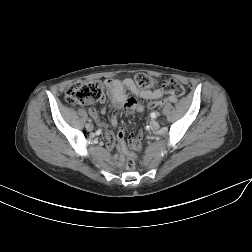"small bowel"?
Returning a JSON list of instances; mask_svg holds the SVG:
<instances>
[{"instance_id": "obj_1", "label": "small bowel", "mask_w": 252, "mask_h": 252, "mask_svg": "<svg viewBox=\"0 0 252 252\" xmlns=\"http://www.w3.org/2000/svg\"><path fill=\"white\" fill-rule=\"evenodd\" d=\"M107 93L111 99V104L114 108L118 110H123L126 112H143L144 106L140 104L136 97H139L144 100H157L163 98L161 103H175L177 102V97L173 95H165L164 91L161 89H139L133 79L125 78L124 80L109 78L104 81ZM131 95H130V94ZM104 100V98L102 99ZM90 104V103H89ZM89 115L97 121L100 125H104V123L99 118L98 111L90 107L88 109ZM106 112V108L101 109V113L104 114ZM110 123L113 127L118 125V119L116 115H111ZM142 135V133L140 132ZM117 145L119 151L117 154L113 155V162L121 167L123 156L126 153V146L124 142V131L121 129L118 133L117 140L114 136L109 135L107 138L106 148L108 151H112Z\"/></svg>"}]
</instances>
